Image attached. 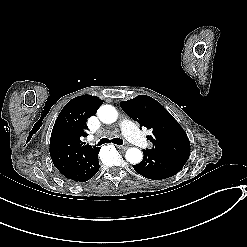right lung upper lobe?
Masks as SVG:
<instances>
[{"mask_svg": "<svg viewBox=\"0 0 247 247\" xmlns=\"http://www.w3.org/2000/svg\"><path fill=\"white\" fill-rule=\"evenodd\" d=\"M103 103L97 96L82 95L70 100L61 110L50 138V156L61 174L75 168L95 146L83 145L87 119Z\"/></svg>", "mask_w": 247, "mask_h": 247, "instance_id": "cb5924a9", "label": "right lung upper lobe"}]
</instances>
